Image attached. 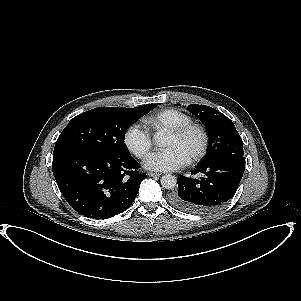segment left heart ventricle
I'll return each mask as SVG.
<instances>
[{"label": "left heart ventricle", "instance_id": "left-heart-ventricle-1", "mask_svg": "<svg viewBox=\"0 0 301 301\" xmlns=\"http://www.w3.org/2000/svg\"><path fill=\"white\" fill-rule=\"evenodd\" d=\"M162 146L177 152L184 158H187L197 147L199 135L192 131L182 138L166 136L162 139Z\"/></svg>", "mask_w": 301, "mask_h": 301}]
</instances>
